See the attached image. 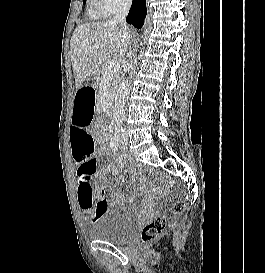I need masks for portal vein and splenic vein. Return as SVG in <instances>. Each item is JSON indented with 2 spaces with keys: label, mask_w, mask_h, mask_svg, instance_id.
Segmentation results:
<instances>
[{
  "label": "portal vein and splenic vein",
  "mask_w": 265,
  "mask_h": 273,
  "mask_svg": "<svg viewBox=\"0 0 265 273\" xmlns=\"http://www.w3.org/2000/svg\"><path fill=\"white\" fill-rule=\"evenodd\" d=\"M119 63L117 61H111L105 70V77L112 76L118 69Z\"/></svg>",
  "instance_id": "portal-vein-and-splenic-vein-1"
}]
</instances>
